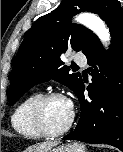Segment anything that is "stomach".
<instances>
[{"mask_svg": "<svg viewBox=\"0 0 123 152\" xmlns=\"http://www.w3.org/2000/svg\"><path fill=\"white\" fill-rule=\"evenodd\" d=\"M50 152H86V148L84 145L74 142L55 147Z\"/></svg>", "mask_w": 123, "mask_h": 152, "instance_id": "obj_1", "label": "stomach"}]
</instances>
